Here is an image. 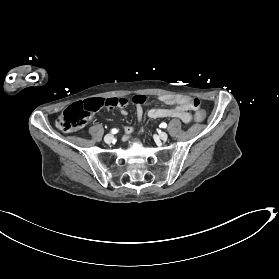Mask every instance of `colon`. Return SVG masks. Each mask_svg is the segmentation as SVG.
<instances>
[{"mask_svg":"<svg viewBox=\"0 0 279 279\" xmlns=\"http://www.w3.org/2000/svg\"><path fill=\"white\" fill-rule=\"evenodd\" d=\"M180 99L192 110H196L194 118L197 122L204 121L205 111L200 109V103L197 99L188 96H182ZM146 97L136 95L131 102L136 105L145 103ZM127 98H95L78 102L67 107L57 119L58 127L65 132H74L84 127L89 119L103 107H122L129 104Z\"/></svg>","mask_w":279,"mask_h":279,"instance_id":"colon-1","label":"colon"}]
</instances>
